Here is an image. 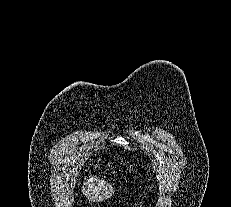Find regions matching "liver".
Returning <instances> with one entry per match:
<instances>
[{
  "mask_svg": "<svg viewBox=\"0 0 231 207\" xmlns=\"http://www.w3.org/2000/svg\"><path fill=\"white\" fill-rule=\"evenodd\" d=\"M83 194L92 202H102L113 194L114 188L105 180H100L97 176H90L84 182Z\"/></svg>",
  "mask_w": 231,
  "mask_h": 207,
  "instance_id": "6515ba94",
  "label": "liver"
}]
</instances>
